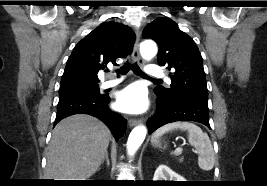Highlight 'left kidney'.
<instances>
[{
  "instance_id": "1",
  "label": "left kidney",
  "mask_w": 267,
  "mask_h": 186,
  "mask_svg": "<svg viewBox=\"0 0 267 186\" xmlns=\"http://www.w3.org/2000/svg\"><path fill=\"white\" fill-rule=\"evenodd\" d=\"M153 181H185V179L168 166L159 165L154 173Z\"/></svg>"
}]
</instances>
